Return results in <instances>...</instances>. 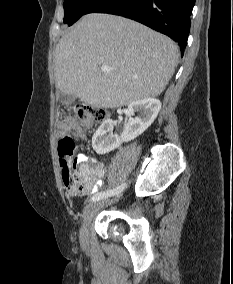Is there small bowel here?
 I'll list each match as a JSON object with an SVG mask.
<instances>
[{"label":"small bowel","mask_w":233,"mask_h":284,"mask_svg":"<svg viewBox=\"0 0 233 284\" xmlns=\"http://www.w3.org/2000/svg\"><path fill=\"white\" fill-rule=\"evenodd\" d=\"M61 129L66 127L61 126ZM75 134L84 139L85 135L82 131L77 130ZM77 164L80 166L83 172L89 174L92 179V187L88 194L94 193L103 185V177L105 173V166L102 163L97 162L95 159L80 154L75 158Z\"/></svg>","instance_id":"small-bowel-1"}]
</instances>
